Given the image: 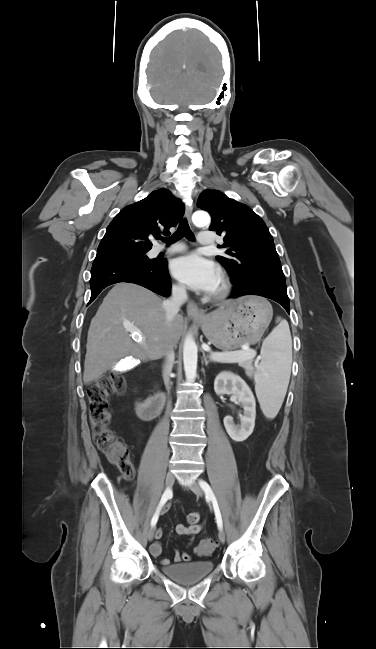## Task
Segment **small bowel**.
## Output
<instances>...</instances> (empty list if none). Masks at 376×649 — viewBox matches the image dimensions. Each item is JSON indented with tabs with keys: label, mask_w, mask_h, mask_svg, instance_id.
I'll return each mask as SVG.
<instances>
[{
	"label": "small bowel",
	"mask_w": 376,
	"mask_h": 649,
	"mask_svg": "<svg viewBox=\"0 0 376 649\" xmlns=\"http://www.w3.org/2000/svg\"><path fill=\"white\" fill-rule=\"evenodd\" d=\"M196 517V518H194ZM200 519V514L198 512H192L188 514L187 516V524H178L175 528L176 533L179 535H186V536H191L194 537L195 535L199 534L202 530V524L199 523ZM163 536V531L161 529H157L155 532V541L150 545V551L153 556L159 557L162 552V544L160 542V539ZM191 554L189 552H180L176 551L174 554V561L175 562H188L191 560ZM161 564L162 565H168L170 564V559L168 558H163L161 559Z\"/></svg>",
	"instance_id": "small-bowel-1"
}]
</instances>
